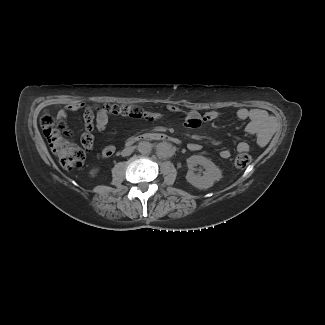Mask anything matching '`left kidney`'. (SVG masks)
Returning a JSON list of instances; mask_svg holds the SVG:
<instances>
[{
    "mask_svg": "<svg viewBox=\"0 0 325 325\" xmlns=\"http://www.w3.org/2000/svg\"><path fill=\"white\" fill-rule=\"evenodd\" d=\"M197 165L203 166L205 171L203 175L195 174L194 170ZM188 172L186 180L192 186L198 189H208L222 176V171L209 159L201 155H193L187 159Z\"/></svg>",
    "mask_w": 325,
    "mask_h": 325,
    "instance_id": "1",
    "label": "left kidney"
}]
</instances>
